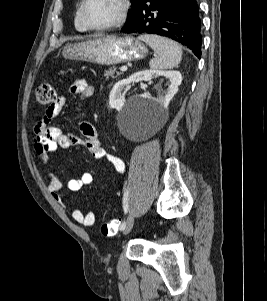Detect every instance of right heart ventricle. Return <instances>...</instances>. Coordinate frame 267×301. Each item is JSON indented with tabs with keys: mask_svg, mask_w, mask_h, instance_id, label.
<instances>
[{
	"mask_svg": "<svg viewBox=\"0 0 267 301\" xmlns=\"http://www.w3.org/2000/svg\"><path fill=\"white\" fill-rule=\"evenodd\" d=\"M79 7H80V3L76 9L75 12V17H74V26L76 28V30L80 31V32H84L87 29L83 26L81 19H80V12H79Z\"/></svg>",
	"mask_w": 267,
	"mask_h": 301,
	"instance_id": "1",
	"label": "right heart ventricle"
}]
</instances>
